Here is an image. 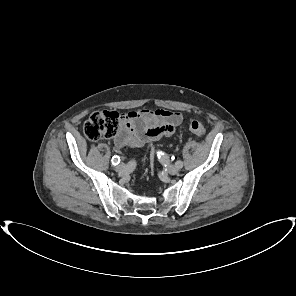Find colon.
I'll return each instance as SVG.
<instances>
[{
	"label": "colon",
	"instance_id": "obj_1",
	"mask_svg": "<svg viewBox=\"0 0 296 296\" xmlns=\"http://www.w3.org/2000/svg\"><path fill=\"white\" fill-rule=\"evenodd\" d=\"M121 116L116 111L104 110L92 113L83 125L84 135L91 141L113 137L117 134ZM189 130L196 136H203L205 128L201 122L193 120Z\"/></svg>",
	"mask_w": 296,
	"mask_h": 296
}]
</instances>
